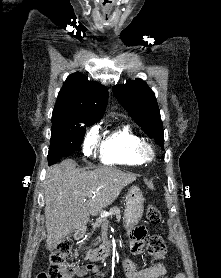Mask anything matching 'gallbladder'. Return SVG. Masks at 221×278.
<instances>
[{"label":"gallbladder","instance_id":"obj_1","mask_svg":"<svg viewBox=\"0 0 221 278\" xmlns=\"http://www.w3.org/2000/svg\"><path fill=\"white\" fill-rule=\"evenodd\" d=\"M73 232H74V231H71V232L67 235L66 239H69V238L72 236Z\"/></svg>","mask_w":221,"mask_h":278}]
</instances>
